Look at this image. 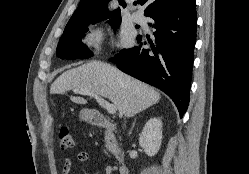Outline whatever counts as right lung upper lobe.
I'll list each match as a JSON object with an SVG mask.
<instances>
[{
    "label": "right lung upper lobe",
    "instance_id": "cb5924a9",
    "mask_svg": "<svg viewBox=\"0 0 249 174\" xmlns=\"http://www.w3.org/2000/svg\"><path fill=\"white\" fill-rule=\"evenodd\" d=\"M189 1L191 0H139L137 3L148 5L144 13L146 16H149L160 9L183 4ZM109 2L110 0H81L68 24L111 17L107 12V5ZM119 3L123 8L126 6L124 0H119ZM120 12V8L116 9L113 11L112 17H120Z\"/></svg>",
    "mask_w": 249,
    "mask_h": 174
}]
</instances>
